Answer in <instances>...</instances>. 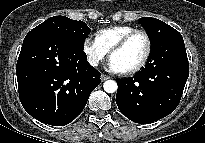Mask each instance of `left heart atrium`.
<instances>
[{
    "label": "left heart atrium",
    "mask_w": 205,
    "mask_h": 143,
    "mask_svg": "<svg viewBox=\"0 0 205 143\" xmlns=\"http://www.w3.org/2000/svg\"><path fill=\"white\" fill-rule=\"evenodd\" d=\"M108 68L110 71L114 72V73H122L125 70L112 58L110 59L109 63H108Z\"/></svg>",
    "instance_id": "obj_1"
}]
</instances>
